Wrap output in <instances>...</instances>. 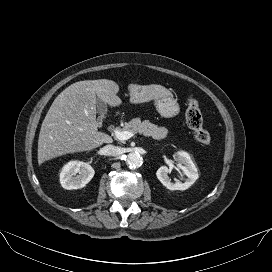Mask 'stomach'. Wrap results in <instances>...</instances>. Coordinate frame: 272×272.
Segmentation results:
<instances>
[{
	"instance_id": "1",
	"label": "stomach",
	"mask_w": 272,
	"mask_h": 272,
	"mask_svg": "<svg viewBox=\"0 0 272 272\" xmlns=\"http://www.w3.org/2000/svg\"><path fill=\"white\" fill-rule=\"evenodd\" d=\"M155 107L165 118H172L179 114L180 106L173 97H163L155 100Z\"/></svg>"
}]
</instances>
